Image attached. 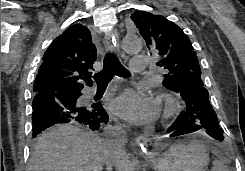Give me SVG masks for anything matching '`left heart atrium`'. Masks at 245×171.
Masks as SVG:
<instances>
[{
    "label": "left heart atrium",
    "instance_id": "39dd6f15",
    "mask_svg": "<svg viewBox=\"0 0 245 171\" xmlns=\"http://www.w3.org/2000/svg\"><path fill=\"white\" fill-rule=\"evenodd\" d=\"M111 110L132 123L145 124L158 117L160 106L151 93L138 88L125 90L114 98Z\"/></svg>",
    "mask_w": 245,
    "mask_h": 171
}]
</instances>
